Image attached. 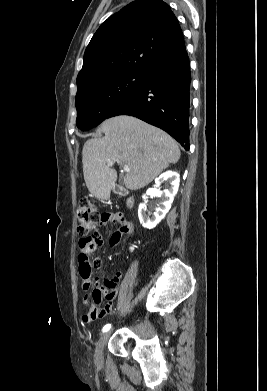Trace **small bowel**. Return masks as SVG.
<instances>
[{
	"instance_id": "c3829d8e",
	"label": "small bowel",
	"mask_w": 267,
	"mask_h": 391,
	"mask_svg": "<svg viewBox=\"0 0 267 391\" xmlns=\"http://www.w3.org/2000/svg\"><path fill=\"white\" fill-rule=\"evenodd\" d=\"M120 217L122 216L118 213H104L102 215V224L110 222L120 223V228L109 239L111 247H115L119 243L122 234L133 235L134 232L133 224L126 220L120 221ZM78 264L79 274L82 278V287L87 292L85 303L88 307V313L85 315L84 320L88 321L102 317L112 308L122 274L116 272L111 278L95 276L94 270L100 267L101 261L99 259L90 261L89 253H80ZM103 298L106 300L105 304H102Z\"/></svg>"
}]
</instances>
